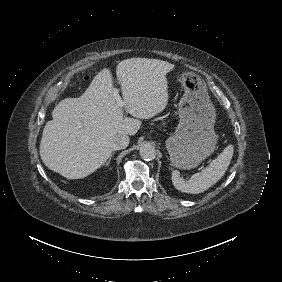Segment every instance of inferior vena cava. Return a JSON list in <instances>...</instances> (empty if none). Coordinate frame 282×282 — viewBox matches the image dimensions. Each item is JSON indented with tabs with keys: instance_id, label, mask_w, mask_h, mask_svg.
<instances>
[{
	"instance_id": "602c4592",
	"label": "inferior vena cava",
	"mask_w": 282,
	"mask_h": 282,
	"mask_svg": "<svg viewBox=\"0 0 282 282\" xmlns=\"http://www.w3.org/2000/svg\"><path fill=\"white\" fill-rule=\"evenodd\" d=\"M129 144V137L126 134H117L112 139V148L114 150L125 149Z\"/></svg>"
}]
</instances>
